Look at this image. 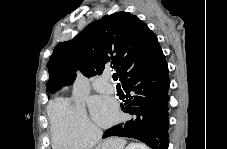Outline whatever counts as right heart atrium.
<instances>
[{"label":"right heart atrium","mask_w":227,"mask_h":149,"mask_svg":"<svg viewBox=\"0 0 227 149\" xmlns=\"http://www.w3.org/2000/svg\"><path fill=\"white\" fill-rule=\"evenodd\" d=\"M52 144L59 149H79L96 144L100 129L84 108L64 98H56L49 109Z\"/></svg>","instance_id":"obj_1"}]
</instances>
